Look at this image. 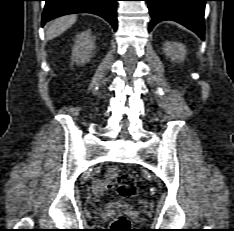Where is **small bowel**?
Returning <instances> with one entry per match:
<instances>
[{"label":"small bowel","instance_id":"c3829d8e","mask_svg":"<svg viewBox=\"0 0 234 231\" xmlns=\"http://www.w3.org/2000/svg\"><path fill=\"white\" fill-rule=\"evenodd\" d=\"M116 174L117 170L115 168H109L103 178L96 179L92 184V191L94 195L100 197L106 191L112 189L114 186Z\"/></svg>","mask_w":234,"mask_h":231}]
</instances>
